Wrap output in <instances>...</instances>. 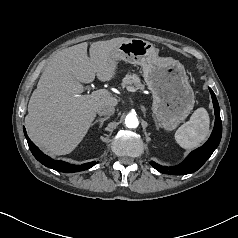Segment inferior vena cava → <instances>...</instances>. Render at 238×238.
Here are the masks:
<instances>
[{"label":"inferior vena cava","instance_id":"obj_1","mask_svg":"<svg viewBox=\"0 0 238 238\" xmlns=\"http://www.w3.org/2000/svg\"><path fill=\"white\" fill-rule=\"evenodd\" d=\"M115 108L113 106L101 105L97 108V113L99 115H107L110 116L114 114Z\"/></svg>","mask_w":238,"mask_h":238}]
</instances>
